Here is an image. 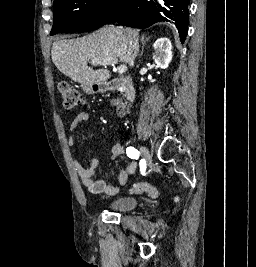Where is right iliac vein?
Listing matches in <instances>:
<instances>
[{
    "label": "right iliac vein",
    "mask_w": 256,
    "mask_h": 267,
    "mask_svg": "<svg viewBox=\"0 0 256 267\" xmlns=\"http://www.w3.org/2000/svg\"><path fill=\"white\" fill-rule=\"evenodd\" d=\"M140 152L146 161L151 159L150 152L145 146H140Z\"/></svg>",
    "instance_id": "63e3f726"
}]
</instances>
